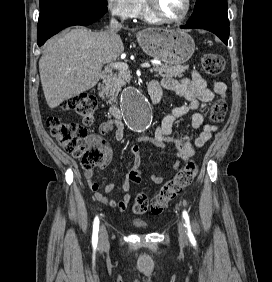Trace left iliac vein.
<instances>
[{
    "instance_id": "obj_1",
    "label": "left iliac vein",
    "mask_w": 272,
    "mask_h": 282,
    "mask_svg": "<svg viewBox=\"0 0 272 282\" xmlns=\"http://www.w3.org/2000/svg\"><path fill=\"white\" fill-rule=\"evenodd\" d=\"M178 233H179V240L182 243H187L188 242V237L186 233V228L184 226V222L180 221L178 225Z\"/></svg>"
}]
</instances>
